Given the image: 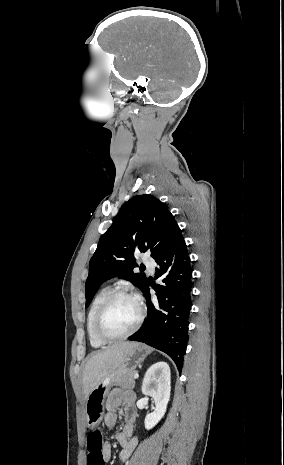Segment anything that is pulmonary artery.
<instances>
[{
	"label": "pulmonary artery",
	"instance_id": "pulmonary-artery-1",
	"mask_svg": "<svg viewBox=\"0 0 284 465\" xmlns=\"http://www.w3.org/2000/svg\"><path fill=\"white\" fill-rule=\"evenodd\" d=\"M140 261L142 263H150L152 261V256L150 254H142L140 256Z\"/></svg>",
	"mask_w": 284,
	"mask_h": 465
}]
</instances>
